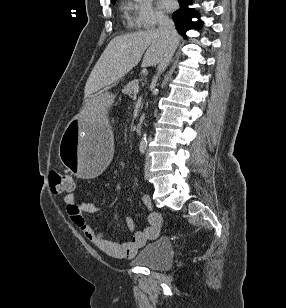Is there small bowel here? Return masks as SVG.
<instances>
[{"label":"small bowel","instance_id":"1","mask_svg":"<svg viewBox=\"0 0 286 308\" xmlns=\"http://www.w3.org/2000/svg\"><path fill=\"white\" fill-rule=\"evenodd\" d=\"M66 213L77 229L98 249L106 254L117 258H131L148 241L158 237L162 225V218L156 212H149L147 215V226L142 231H134L132 219L126 218V226L132 231L128 241H114L106 237L105 232L94 230L87 222L84 214L95 213L99 206L93 203L79 202L74 194H66L63 198ZM142 202L151 208L150 198L142 197Z\"/></svg>","mask_w":286,"mask_h":308}]
</instances>
